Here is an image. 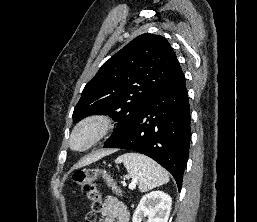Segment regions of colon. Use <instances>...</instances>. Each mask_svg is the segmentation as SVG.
<instances>
[{"label":"colon","mask_w":257,"mask_h":222,"mask_svg":"<svg viewBox=\"0 0 257 222\" xmlns=\"http://www.w3.org/2000/svg\"><path fill=\"white\" fill-rule=\"evenodd\" d=\"M102 178L104 183L116 194L120 195L121 191L110 177L103 171L96 168H85L76 171L73 174V181L80 189L82 195L88 200L90 210L86 215L85 222H95L96 214L102 210L101 193L98 189L97 180Z\"/></svg>","instance_id":"colon-1"}]
</instances>
